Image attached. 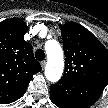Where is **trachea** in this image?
I'll list each match as a JSON object with an SVG mask.
<instances>
[{"label":"trachea","instance_id":"3493384b","mask_svg":"<svg viewBox=\"0 0 108 108\" xmlns=\"http://www.w3.org/2000/svg\"><path fill=\"white\" fill-rule=\"evenodd\" d=\"M35 57L38 61H42L44 60L45 58V53L42 49H38L36 52H35Z\"/></svg>","mask_w":108,"mask_h":108}]
</instances>
